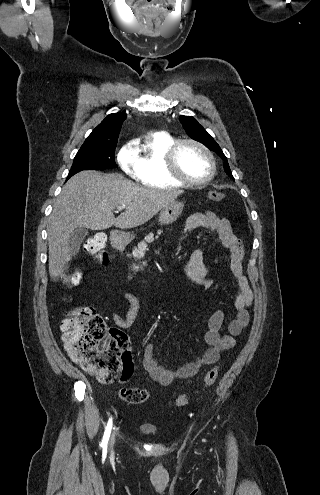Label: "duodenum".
<instances>
[{"label": "duodenum", "instance_id": "410a0bca", "mask_svg": "<svg viewBox=\"0 0 320 495\" xmlns=\"http://www.w3.org/2000/svg\"><path fill=\"white\" fill-rule=\"evenodd\" d=\"M112 240H113V243L115 245V247L118 249V250H123L124 247H125V243L123 241V239L121 238L120 235L118 234H114L112 236Z\"/></svg>", "mask_w": 320, "mask_h": 495}]
</instances>
